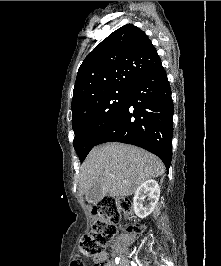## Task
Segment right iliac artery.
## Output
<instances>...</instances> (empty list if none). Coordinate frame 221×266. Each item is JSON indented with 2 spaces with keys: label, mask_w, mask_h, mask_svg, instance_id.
Returning a JSON list of instances; mask_svg holds the SVG:
<instances>
[{
  "label": "right iliac artery",
  "mask_w": 221,
  "mask_h": 266,
  "mask_svg": "<svg viewBox=\"0 0 221 266\" xmlns=\"http://www.w3.org/2000/svg\"><path fill=\"white\" fill-rule=\"evenodd\" d=\"M119 260H120V258L119 257H116V259H115L116 264L119 263Z\"/></svg>",
  "instance_id": "obj_1"
}]
</instances>
